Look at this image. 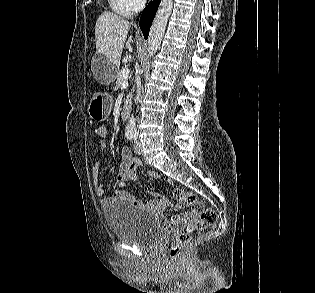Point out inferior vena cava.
Here are the masks:
<instances>
[{
    "label": "inferior vena cava",
    "mask_w": 315,
    "mask_h": 293,
    "mask_svg": "<svg viewBox=\"0 0 315 293\" xmlns=\"http://www.w3.org/2000/svg\"><path fill=\"white\" fill-rule=\"evenodd\" d=\"M137 96L135 99V102L138 103L140 101V95H141V81L139 79H137Z\"/></svg>",
    "instance_id": "602c4592"
}]
</instances>
